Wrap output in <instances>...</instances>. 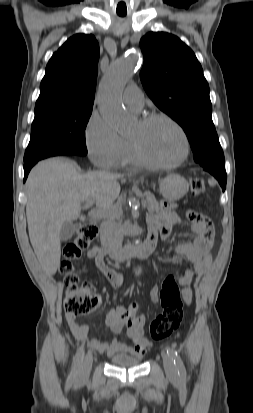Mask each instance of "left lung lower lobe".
I'll return each mask as SVG.
<instances>
[{
	"mask_svg": "<svg viewBox=\"0 0 253 413\" xmlns=\"http://www.w3.org/2000/svg\"><path fill=\"white\" fill-rule=\"evenodd\" d=\"M205 171L211 173L220 183L222 190L225 191L227 175L225 167L223 166H205L203 167Z\"/></svg>",
	"mask_w": 253,
	"mask_h": 413,
	"instance_id": "obj_1",
	"label": "left lung lower lobe"
}]
</instances>
